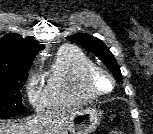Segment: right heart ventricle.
I'll list each match as a JSON object with an SVG mask.
<instances>
[{"mask_svg": "<svg viewBox=\"0 0 153 134\" xmlns=\"http://www.w3.org/2000/svg\"><path fill=\"white\" fill-rule=\"evenodd\" d=\"M93 61L74 46L62 47L47 75L43 95L50 108L83 105L95 99L83 87V73Z\"/></svg>", "mask_w": 153, "mask_h": 134, "instance_id": "1", "label": "right heart ventricle"}]
</instances>
